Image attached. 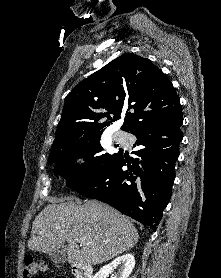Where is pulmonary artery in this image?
Wrapping results in <instances>:
<instances>
[{
  "label": "pulmonary artery",
  "mask_w": 221,
  "mask_h": 278,
  "mask_svg": "<svg viewBox=\"0 0 221 278\" xmlns=\"http://www.w3.org/2000/svg\"><path fill=\"white\" fill-rule=\"evenodd\" d=\"M114 139L117 141V142H122L124 140V135L121 133V132H117L115 133L114 135Z\"/></svg>",
  "instance_id": "1"
}]
</instances>
